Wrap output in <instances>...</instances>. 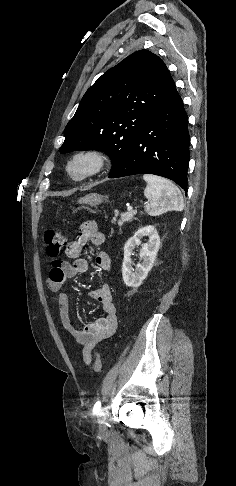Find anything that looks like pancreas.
<instances>
[{"mask_svg": "<svg viewBox=\"0 0 236 486\" xmlns=\"http://www.w3.org/2000/svg\"><path fill=\"white\" fill-rule=\"evenodd\" d=\"M134 215H136L135 211H128L126 213H122L120 215L121 218L118 221L116 220L117 215H115V217L112 219V223H116V221H117V224L121 227V226H123L124 223L131 221L133 219Z\"/></svg>", "mask_w": 236, "mask_h": 486, "instance_id": "1", "label": "pancreas"}]
</instances>
